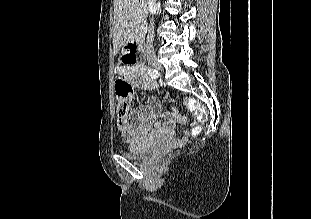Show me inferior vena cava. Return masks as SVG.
<instances>
[{"mask_svg": "<svg viewBox=\"0 0 311 219\" xmlns=\"http://www.w3.org/2000/svg\"><path fill=\"white\" fill-rule=\"evenodd\" d=\"M155 0H148V5H154ZM154 23H153V19L150 21V25H149V30H148V35H147V42H146V46H145V51H151L152 50V42H153V34H154Z\"/></svg>", "mask_w": 311, "mask_h": 219, "instance_id": "1", "label": "inferior vena cava"}]
</instances>
